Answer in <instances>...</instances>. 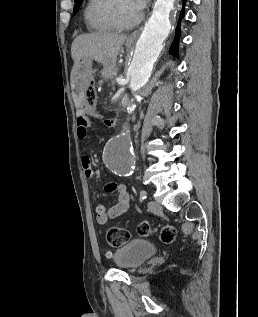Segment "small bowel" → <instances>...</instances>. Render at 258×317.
<instances>
[{
    "instance_id": "1",
    "label": "small bowel",
    "mask_w": 258,
    "mask_h": 317,
    "mask_svg": "<svg viewBox=\"0 0 258 317\" xmlns=\"http://www.w3.org/2000/svg\"><path fill=\"white\" fill-rule=\"evenodd\" d=\"M117 124L115 120H106L104 125L106 127H113ZM91 122L85 118H79L77 121V136L80 140H84L88 136L89 128L91 127ZM81 165L84 171V174L87 178H92L94 171L92 168V162L89 156L83 155L81 158ZM103 191L105 193H116L117 202L111 208L106 209L103 204H96L95 212L97 214V222L99 224H106L110 220L123 215L130 205L129 194L126 190V187L123 184L118 182H109L107 183Z\"/></svg>"
}]
</instances>
